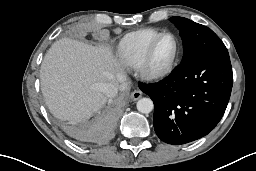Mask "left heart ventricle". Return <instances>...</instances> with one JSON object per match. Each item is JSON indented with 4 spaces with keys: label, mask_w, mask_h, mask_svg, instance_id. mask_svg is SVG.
<instances>
[{
    "label": "left heart ventricle",
    "mask_w": 256,
    "mask_h": 171,
    "mask_svg": "<svg viewBox=\"0 0 256 171\" xmlns=\"http://www.w3.org/2000/svg\"><path fill=\"white\" fill-rule=\"evenodd\" d=\"M175 50V43L173 38L165 37L163 38L157 47L155 48L153 54V64L155 67L165 66L172 58Z\"/></svg>",
    "instance_id": "obj_1"
}]
</instances>
